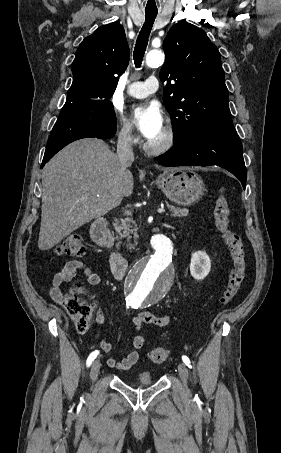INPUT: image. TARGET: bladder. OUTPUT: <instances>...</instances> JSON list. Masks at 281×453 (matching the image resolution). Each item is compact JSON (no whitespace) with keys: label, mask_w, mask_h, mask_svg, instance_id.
I'll return each instance as SVG.
<instances>
[{"label":"bladder","mask_w":281,"mask_h":453,"mask_svg":"<svg viewBox=\"0 0 281 453\" xmlns=\"http://www.w3.org/2000/svg\"><path fill=\"white\" fill-rule=\"evenodd\" d=\"M137 383H139L140 385H149L152 383V377L148 373L140 374L137 377Z\"/></svg>","instance_id":"obj_1"}]
</instances>
